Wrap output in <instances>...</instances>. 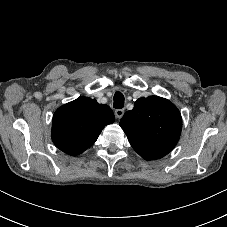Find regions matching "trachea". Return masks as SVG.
<instances>
[{
    "label": "trachea",
    "mask_w": 227,
    "mask_h": 227,
    "mask_svg": "<svg viewBox=\"0 0 227 227\" xmlns=\"http://www.w3.org/2000/svg\"><path fill=\"white\" fill-rule=\"evenodd\" d=\"M113 107L116 109H121L124 107V95L121 92H116L114 94Z\"/></svg>",
    "instance_id": "obj_1"
}]
</instances>
